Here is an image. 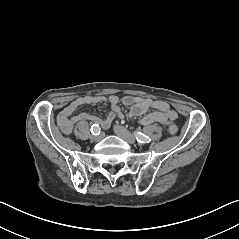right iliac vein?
Masks as SVG:
<instances>
[{
  "label": "right iliac vein",
  "instance_id": "1",
  "mask_svg": "<svg viewBox=\"0 0 239 239\" xmlns=\"http://www.w3.org/2000/svg\"><path fill=\"white\" fill-rule=\"evenodd\" d=\"M104 137V133L99 134L98 136H92L91 139L95 142L101 140Z\"/></svg>",
  "mask_w": 239,
  "mask_h": 239
}]
</instances>
